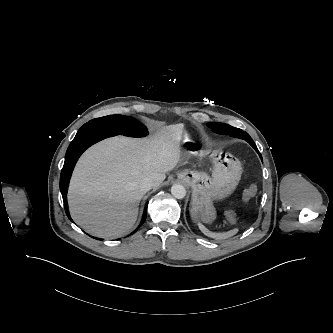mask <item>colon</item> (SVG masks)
I'll use <instances>...</instances> for the list:
<instances>
[{
	"mask_svg": "<svg viewBox=\"0 0 333 333\" xmlns=\"http://www.w3.org/2000/svg\"><path fill=\"white\" fill-rule=\"evenodd\" d=\"M257 193V186L255 184L249 185L243 192L242 199L244 202L252 199ZM227 220L234 223L237 220V215L234 211H228L226 214Z\"/></svg>",
	"mask_w": 333,
	"mask_h": 333,
	"instance_id": "obj_1",
	"label": "colon"
}]
</instances>
